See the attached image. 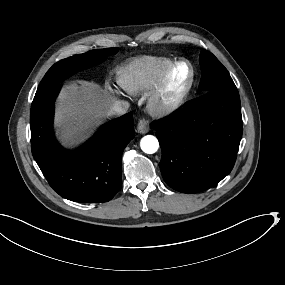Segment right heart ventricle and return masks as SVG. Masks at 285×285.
Masks as SVG:
<instances>
[{
  "label": "right heart ventricle",
  "instance_id": "right-heart-ventricle-1",
  "mask_svg": "<svg viewBox=\"0 0 285 285\" xmlns=\"http://www.w3.org/2000/svg\"><path fill=\"white\" fill-rule=\"evenodd\" d=\"M134 65L133 75L123 84L132 95H139L153 88L172 66L168 59L157 56L141 57Z\"/></svg>",
  "mask_w": 285,
  "mask_h": 285
}]
</instances>
